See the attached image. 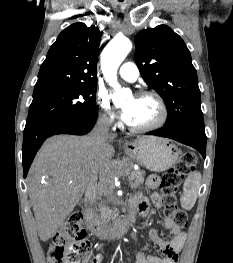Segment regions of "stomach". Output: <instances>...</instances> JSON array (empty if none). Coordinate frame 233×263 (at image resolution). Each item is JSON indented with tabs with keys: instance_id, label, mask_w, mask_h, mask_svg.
Instances as JSON below:
<instances>
[{
	"instance_id": "stomach-1",
	"label": "stomach",
	"mask_w": 233,
	"mask_h": 263,
	"mask_svg": "<svg viewBox=\"0 0 233 263\" xmlns=\"http://www.w3.org/2000/svg\"><path fill=\"white\" fill-rule=\"evenodd\" d=\"M125 152L141 166L154 172H162L175 164L179 149L169 140L153 136H141L125 144Z\"/></svg>"
}]
</instances>
